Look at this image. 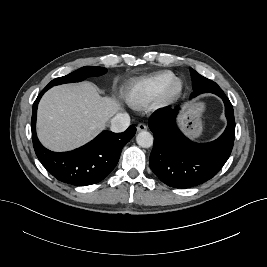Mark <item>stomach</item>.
I'll use <instances>...</instances> for the list:
<instances>
[{"instance_id":"1","label":"stomach","mask_w":267,"mask_h":267,"mask_svg":"<svg viewBox=\"0 0 267 267\" xmlns=\"http://www.w3.org/2000/svg\"><path fill=\"white\" fill-rule=\"evenodd\" d=\"M204 110L205 104L201 101L192 102L185 108L179 119V123L188 137L197 139L201 136L203 131L202 115Z\"/></svg>"}]
</instances>
